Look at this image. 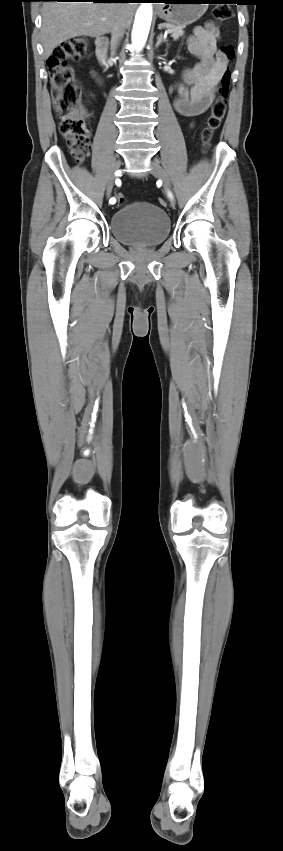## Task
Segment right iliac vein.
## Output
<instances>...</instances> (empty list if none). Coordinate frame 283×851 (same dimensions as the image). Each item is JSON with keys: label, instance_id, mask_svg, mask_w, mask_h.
Instances as JSON below:
<instances>
[{"label": "right iliac vein", "instance_id": "right-iliac-vein-1", "mask_svg": "<svg viewBox=\"0 0 283 851\" xmlns=\"http://www.w3.org/2000/svg\"><path fill=\"white\" fill-rule=\"evenodd\" d=\"M120 165H121V161L117 160L114 168H112L111 177L108 181L107 188H106V195L107 196H110V194L112 192V189H113V186H114V180L117 177V174L115 172H116V170H118L120 168Z\"/></svg>", "mask_w": 283, "mask_h": 851}]
</instances>
